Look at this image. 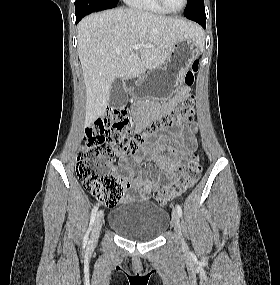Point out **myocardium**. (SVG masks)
Returning <instances> with one entry per match:
<instances>
[{
    "label": "myocardium",
    "instance_id": "obj_1",
    "mask_svg": "<svg viewBox=\"0 0 280 285\" xmlns=\"http://www.w3.org/2000/svg\"><path fill=\"white\" fill-rule=\"evenodd\" d=\"M157 2H158V4L160 5V7H161L164 11H166L167 13L178 14V13L182 12V11L185 9V7L187 6L188 0H183V5H182V7H181L180 9H178V10H171V9H169V8L166 6L164 0H157Z\"/></svg>",
    "mask_w": 280,
    "mask_h": 285
}]
</instances>
